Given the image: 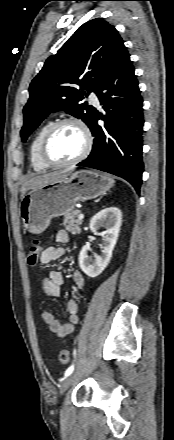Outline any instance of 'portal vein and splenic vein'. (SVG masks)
<instances>
[{
    "instance_id": "portal-vein-and-splenic-vein-1",
    "label": "portal vein and splenic vein",
    "mask_w": 174,
    "mask_h": 440,
    "mask_svg": "<svg viewBox=\"0 0 174 440\" xmlns=\"http://www.w3.org/2000/svg\"><path fill=\"white\" fill-rule=\"evenodd\" d=\"M78 219L79 220H83L84 219V215L83 214H79Z\"/></svg>"
}]
</instances>
